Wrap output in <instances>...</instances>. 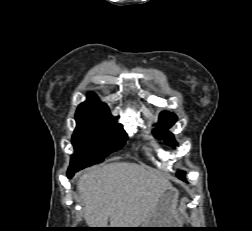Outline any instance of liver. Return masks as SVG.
<instances>
[{
    "mask_svg": "<svg viewBox=\"0 0 252 231\" xmlns=\"http://www.w3.org/2000/svg\"><path fill=\"white\" fill-rule=\"evenodd\" d=\"M171 187L158 172L129 162H114L84 172L77 189L91 228H138L151 216L161 194Z\"/></svg>",
    "mask_w": 252,
    "mask_h": 231,
    "instance_id": "6515ba94",
    "label": "liver"
}]
</instances>
